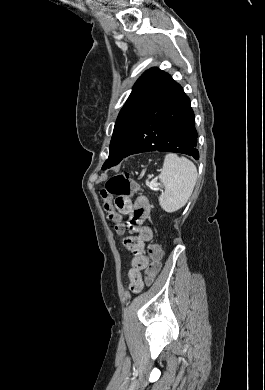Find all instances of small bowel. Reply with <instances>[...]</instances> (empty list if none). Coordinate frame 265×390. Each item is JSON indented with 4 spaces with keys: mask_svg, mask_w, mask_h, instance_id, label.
<instances>
[{
    "mask_svg": "<svg viewBox=\"0 0 265 390\" xmlns=\"http://www.w3.org/2000/svg\"><path fill=\"white\" fill-rule=\"evenodd\" d=\"M116 210L122 215L129 216V228L134 235L123 240L124 246L132 253L131 268L128 271L130 290L139 292L143 288L141 271L148 265L145 255V243L153 239V231L144 226L143 222L150 213V204L146 197L140 196L133 203L129 197H117L115 199Z\"/></svg>",
    "mask_w": 265,
    "mask_h": 390,
    "instance_id": "1",
    "label": "small bowel"
}]
</instances>
